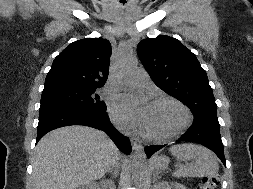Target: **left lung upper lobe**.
Returning <instances> with one entry per match:
<instances>
[{
  "label": "left lung upper lobe",
  "instance_id": "left-lung-upper-lobe-1",
  "mask_svg": "<svg viewBox=\"0 0 253 189\" xmlns=\"http://www.w3.org/2000/svg\"><path fill=\"white\" fill-rule=\"evenodd\" d=\"M137 53L153 82L186 104L194 121L219 123L207 74L179 40L169 36L147 38L138 44Z\"/></svg>",
  "mask_w": 253,
  "mask_h": 189
}]
</instances>
